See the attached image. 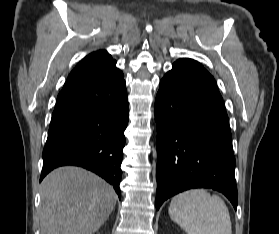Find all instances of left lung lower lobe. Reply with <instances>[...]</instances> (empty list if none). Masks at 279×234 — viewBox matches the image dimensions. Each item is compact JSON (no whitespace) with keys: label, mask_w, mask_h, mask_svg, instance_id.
<instances>
[{"label":"left lung lower lobe","mask_w":279,"mask_h":234,"mask_svg":"<svg viewBox=\"0 0 279 234\" xmlns=\"http://www.w3.org/2000/svg\"><path fill=\"white\" fill-rule=\"evenodd\" d=\"M156 209L191 188L222 192L237 208L229 119L217 84L195 60L183 58L162 78L155 100Z\"/></svg>","instance_id":"left-lung-lower-lobe-1"}]
</instances>
